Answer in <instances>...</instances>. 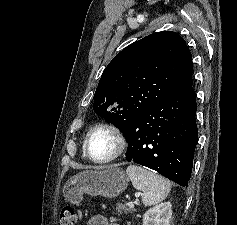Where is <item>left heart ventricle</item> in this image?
Instances as JSON below:
<instances>
[{
    "mask_svg": "<svg viewBox=\"0 0 237 225\" xmlns=\"http://www.w3.org/2000/svg\"><path fill=\"white\" fill-rule=\"evenodd\" d=\"M114 145V140L110 134L106 132H97L90 139L89 149L92 156L104 158L111 154Z\"/></svg>",
    "mask_w": 237,
    "mask_h": 225,
    "instance_id": "1",
    "label": "left heart ventricle"
}]
</instances>
